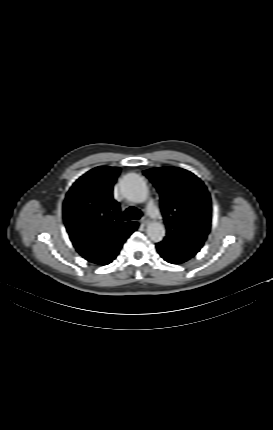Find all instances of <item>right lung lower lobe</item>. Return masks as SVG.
<instances>
[{"instance_id":"obj_1","label":"right lung lower lobe","mask_w":273,"mask_h":430,"mask_svg":"<svg viewBox=\"0 0 273 430\" xmlns=\"http://www.w3.org/2000/svg\"><path fill=\"white\" fill-rule=\"evenodd\" d=\"M120 248H121V247H117V248H115V250H114L113 252H111V253L109 254V256H108L104 261H102V262H101V263H99V264H100V265H106V264H109L110 262H112V260H113V259H115V258H116V256H117V254L119 253Z\"/></svg>"}]
</instances>
